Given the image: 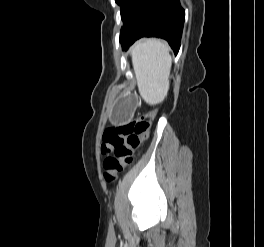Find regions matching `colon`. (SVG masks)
<instances>
[{
    "label": "colon",
    "mask_w": 264,
    "mask_h": 247,
    "mask_svg": "<svg viewBox=\"0 0 264 247\" xmlns=\"http://www.w3.org/2000/svg\"><path fill=\"white\" fill-rule=\"evenodd\" d=\"M155 116L156 111L152 110L105 130L101 152L105 155L103 175L107 182L114 181L125 166L132 162L133 153L148 135Z\"/></svg>",
    "instance_id": "colon-1"
}]
</instances>
